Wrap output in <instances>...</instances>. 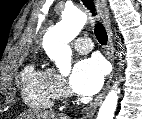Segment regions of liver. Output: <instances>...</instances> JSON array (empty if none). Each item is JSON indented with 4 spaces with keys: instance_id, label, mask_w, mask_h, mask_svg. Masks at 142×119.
Wrapping results in <instances>:
<instances>
[{
    "instance_id": "obj_1",
    "label": "liver",
    "mask_w": 142,
    "mask_h": 119,
    "mask_svg": "<svg viewBox=\"0 0 142 119\" xmlns=\"http://www.w3.org/2000/svg\"><path fill=\"white\" fill-rule=\"evenodd\" d=\"M20 119H70L68 116L55 114L53 112L28 111L19 116Z\"/></svg>"
}]
</instances>
